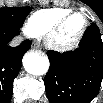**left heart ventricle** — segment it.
I'll return each instance as SVG.
<instances>
[{
    "label": "left heart ventricle",
    "instance_id": "b2bd125f",
    "mask_svg": "<svg viewBox=\"0 0 103 103\" xmlns=\"http://www.w3.org/2000/svg\"><path fill=\"white\" fill-rule=\"evenodd\" d=\"M84 25V18L81 15L73 16L61 30L58 40L69 41L81 31Z\"/></svg>",
    "mask_w": 103,
    "mask_h": 103
}]
</instances>
